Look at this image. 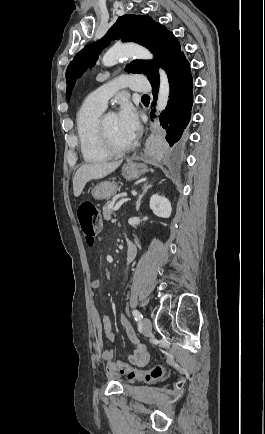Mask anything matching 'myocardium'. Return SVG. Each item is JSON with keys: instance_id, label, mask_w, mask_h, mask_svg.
Here are the masks:
<instances>
[{"instance_id": "f54148a6", "label": "myocardium", "mask_w": 265, "mask_h": 434, "mask_svg": "<svg viewBox=\"0 0 265 434\" xmlns=\"http://www.w3.org/2000/svg\"><path fill=\"white\" fill-rule=\"evenodd\" d=\"M108 116H109V114L103 115L101 117V121H100L102 141H103V146H104L106 152L110 156H124V155L132 152L136 147V143H132L130 146L124 147V148L118 147V146L113 144V142L111 140L110 130H109V127L107 124Z\"/></svg>"}]
</instances>
